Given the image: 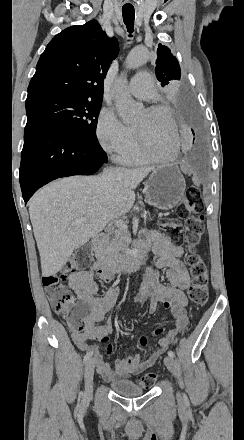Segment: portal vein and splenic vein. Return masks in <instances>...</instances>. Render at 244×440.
<instances>
[{
  "label": "portal vein and splenic vein",
  "instance_id": "portal-vein-and-splenic-vein-1",
  "mask_svg": "<svg viewBox=\"0 0 244 440\" xmlns=\"http://www.w3.org/2000/svg\"><path fill=\"white\" fill-rule=\"evenodd\" d=\"M86 218H83V216H80V218H75L73 220L72 224H75V226H82L84 224ZM117 228H120V230H127L128 226H126L125 222L123 220H116L115 222Z\"/></svg>",
  "mask_w": 244,
  "mask_h": 440
}]
</instances>
